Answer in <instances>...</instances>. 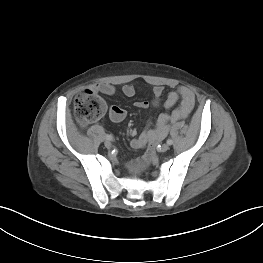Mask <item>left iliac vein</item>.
<instances>
[{"instance_id":"4c4485c4","label":"left iliac vein","mask_w":263,"mask_h":263,"mask_svg":"<svg viewBox=\"0 0 263 263\" xmlns=\"http://www.w3.org/2000/svg\"><path fill=\"white\" fill-rule=\"evenodd\" d=\"M169 149V145L168 144H162L160 147V151L161 152H166Z\"/></svg>"}]
</instances>
